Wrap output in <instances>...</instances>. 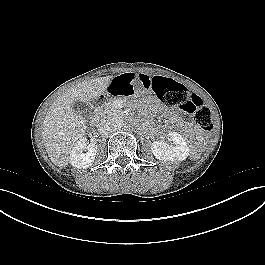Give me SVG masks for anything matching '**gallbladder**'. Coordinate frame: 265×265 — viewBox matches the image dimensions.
I'll return each instance as SVG.
<instances>
[{
    "label": "gallbladder",
    "instance_id": "1",
    "mask_svg": "<svg viewBox=\"0 0 265 265\" xmlns=\"http://www.w3.org/2000/svg\"><path fill=\"white\" fill-rule=\"evenodd\" d=\"M76 112L80 113L86 120H90L93 116V110L88 104L83 102H76L74 104Z\"/></svg>",
    "mask_w": 265,
    "mask_h": 265
}]
</instances>
